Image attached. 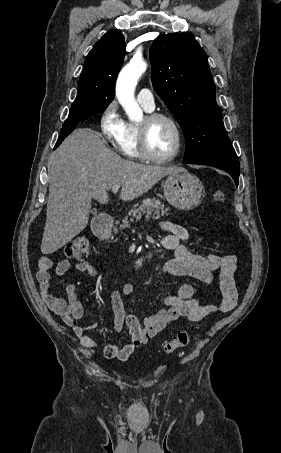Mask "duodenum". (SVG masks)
Wrapping results in <instances>:
<instances>
[{
  "instance_id": "1",
  "label": "duodenum",
  "mask_w": 281,
  "mask_h": 453,
  "mask_svg": "<svg viewBox=\"0 0 281 453\" xmlns=\"http://www.w3.org/2000/svg\"><path fill=\"white\" fill-rule=\"evenodd\" d=\"M112 221L110 218L102 217L98 218L93 226V231L94 234L99 237V238H104L108 235L109 230L111 228ZM166 248L165 244L163 241H161L160 246L155 249L151 250L145 255L141 256L136 262H135V267H140L143 262H145L147 259L151 258L158 250Z\"/></svg>"
}]
</instances>
